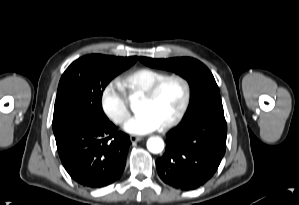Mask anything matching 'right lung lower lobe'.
<instances>
[{
    "label": "right lung lower lobe",
    "mask_w": 299,
    "mask_h": 205,
    "mask_svg": "<svg viewBox=\"0 0 299 205\" xmlns=\"http://www.w3.org/2000/svg\"><path fill=\"white\" fill-rule=\"evenodd\" d=\"M130 143L129 136L109 120L79 123L56 139L66 171L73 180L90 188L120 179Z\"/></svg>",
    "instance_id": "right-lung-lower-lobe-1"
}]
</instances>
